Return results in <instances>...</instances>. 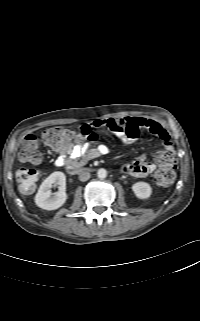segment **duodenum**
I'll return each instance as SVG.
<instances>
[{
  "instance_id": "1",
  "label": "duodenum",
  "mask_w": 200,
  "mask_h": 321,
  "mask_svg": "<svg viewBox=\"0 0 200 321\" xmlns=\"http://www.w3.org/2000/svg\"><path fill=\"white\" fill-rule=\"evenodd\" d=\"M75 170H76V171H84L85 169H84V168H81V167H77ZM70 171H73V169L70 170Z\"/></svg>"
}]
</instances>
